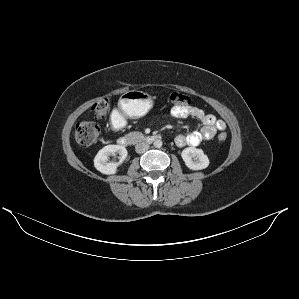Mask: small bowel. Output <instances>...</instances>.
Wrapping results in <instances>:
<instances>
[{
  "label": "small bowel",
  "mask_w": 299,
  "mask_h": 299,
  "mask_svg": "<svg viewBox=\"0 0 299 299\" xmlns=\"http://www.w3.org/2000/svg\"><path fill=\"white\" fill-rule=\"evenodd\" d=\"M171 115L175 118H194L201 122L202 128L189 134L177 136V146H198L203 141L213 138L218 132L226 129L223 120L217 119L214 115L208 114L194 106H174L171 108Z\"/></svg>",
  "instance_id": "obj_1"
}]
</instances>
